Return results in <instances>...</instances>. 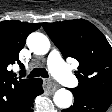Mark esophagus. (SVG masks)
<instances>
[{
  "mask_svg": "<svg viewBox=\"0 0 112 112\" xmlns=\"http://www.w3.org/2000/svg\"><path fill=\"white\" fill-rule=\"evenodd\" d=\"M45 90L53 93L58 89V85L52 79H44Z\"/></svg>",
  "mask_w": 112,
  "mask_h": 112,
  "instance_id": "obj_1",
  "label": "esophagus"
}]
</instances>
